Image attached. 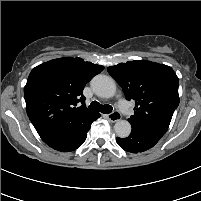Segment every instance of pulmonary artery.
Instances as JSON below:
<instances>
[{"instance_id":"1","label":"pulmonary artery","mask_w":201,"mask_h":201,"mask_svg":"<svg viewBox=\"0 0 201 201\" xmlns=\"http://www.w3.org/2000/svg\"><path fill=\"white\" fill-rule=\"evenodd\" d=\"M119 107L124 114H129L130 110L125 101H120Z\"/></svg>"}]
</instances>
